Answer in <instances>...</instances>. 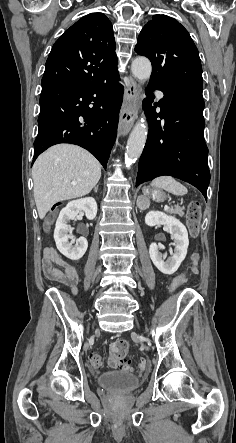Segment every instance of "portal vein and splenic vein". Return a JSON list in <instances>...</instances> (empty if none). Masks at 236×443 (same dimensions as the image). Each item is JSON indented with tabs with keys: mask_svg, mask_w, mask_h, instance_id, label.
<instances>
[{
	"mask_svg": "<svg viewBox=\"0 0 236 443\" xmlns=\"http://www.w3.org/2000/svg\"><path fill=\"white\" fill-rule=\"evenodd\" d=\"M164 209H165V211H168V210H169V207H168V206H165Z\"/></svg>",
	"mask_w": 236,
	"mask_h": 443,
	"instance_id": "18ae733b",
	"label": "portal vein and splenic vein"
}]
</instances>
